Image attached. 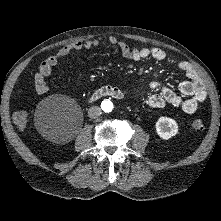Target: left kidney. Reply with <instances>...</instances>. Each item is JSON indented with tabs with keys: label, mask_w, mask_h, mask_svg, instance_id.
<instances>
[{
	"label": "left kidney",
	"mask_w": 221,
	"mask_h": 221,
	"mask_svg": "<svg viewBox=\"0 0 221 221\" xmlns=\"http://www.w3.org/2000/svg\"><path fill=\"white\" fill-rule=\"evenodd\" d=\"M156 132L163 139H169L178 133L177 122L169 117L162 116L156 122Z\"/></svg>",
	"instance_id": "left-kidney-1"
}]
</instances>
